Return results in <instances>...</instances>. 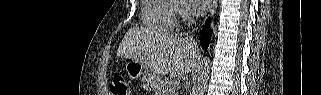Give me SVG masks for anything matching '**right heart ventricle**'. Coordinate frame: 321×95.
I'll return each instance as SVG.
<instances>
[{"instance_id":"1","label":"right heart ventricle","mask_w":321,"mask_h":95,"mask_svg":"<svg viewBox=\"0 0 321 95\" xmlns=\"http://www.w3.org/2000/svg\"><path fill=\"white\" fill-rule=\"evenodd\" d=\"M141 16L148 29L162 33L171 32L177 24L176 3L173 0H144Z\"/></svg>"}]
</instances>
